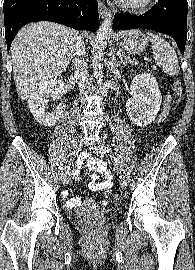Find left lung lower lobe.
Instances as JSON below:
<instances>
[{
    "label": "left lung lower lobe",
    "mask_w": 195,
    "mask_h": 270,
    "mask_svg": "<svg viewBox=\"0 0 195 270\" xmlns=\"http://www.w3.org/2000/svg\"><path fill=\"white\" fill-rule=\"evenodd\" d=\"M187 0H158L156 5L139 16L115 14L113 29L145 28L173 37L184 54L187 40Z\"/></svg>",
    "instance_id": "left-lung-lower-lobe-1"
}]
</instances>
